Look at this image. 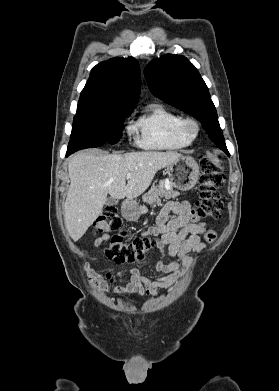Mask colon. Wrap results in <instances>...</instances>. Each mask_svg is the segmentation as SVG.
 Segmentation results:
<instances>
[{
  "label": "colon",
  "instance_id": "1",
  "mask_svg": "<svg viewBox=\"0 0 279 391\" xmlns=\"http://www.w3.org/2000/svg\"><path fill=\"white\" fill-rule=\"evenodd\" d=\"M201 176L199 183L200 201L192 206L194 219L221 217L224 197L220 188L225 182L222 163L209 157L200 160ZM95 233H115L108 239L105 254L109 259L118 264L140 261L154 248L155 240L148 236L136 237L126 241V230L122 227V221L114 207H107L94 223ZM208 242L216 239V233L208 231L204 234ZM107 279L112 281L111 275ZM101 283L95 280V284Z\"/></svg>",
  "mask_w": 279,
  "mask_h": 391
}]
</instances>
